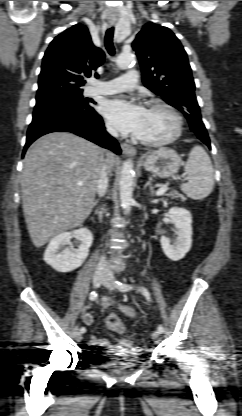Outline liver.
<instances>
[{"mask_svg": "<svg viewBox=\"0 0 242 416\" xmlns=\"http://www.w3.org/2000/svg\"><path fill=\"white\" fill-rule=\"evenodd\" d=\"M104 161L112 170L117 158L68 132L46 134L30 146L24 158L21 188L25 221L35 247L87 219Z\"/></svg>", "mask_w": 242, "mask_h": 416, "instance_id": "obj_1", "label": "liver"}]
</instances>
